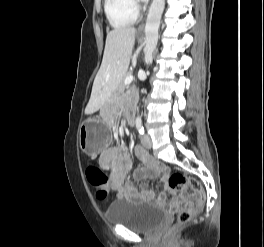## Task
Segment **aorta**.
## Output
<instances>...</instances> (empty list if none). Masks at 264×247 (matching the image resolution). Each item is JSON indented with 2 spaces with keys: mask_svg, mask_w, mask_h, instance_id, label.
<instances>
[{
  "mask_svg": "<svg viewBox=\"0 0 264 247\" xmlns=\"http://www.w3.org/2000/svg\"><path fill=\"white\" fill-rule=\"evenodd\" d=\"M165 8V0H153L148 12L145 25V62L149 63L153 59V53L158 42V30L161 17ZM139 119V117L137 118Z\"/></svg>",
  "mask_w": 264,
  "mask_h": 247,
  "instance_id": "obj_1",
  "label": "aorta"
}]
</instances>
